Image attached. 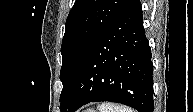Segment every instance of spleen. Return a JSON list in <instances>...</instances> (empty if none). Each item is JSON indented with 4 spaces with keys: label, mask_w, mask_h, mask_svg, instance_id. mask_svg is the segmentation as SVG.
<instances>
[{
    "label": "spleen",
    "mask_w": 193,
    "mask_h": 112,
    "mask_svg": "<svg viewBox=\"0 0 193 112\" xmlns=\"http://www.w3.org/2000/svg\"><path fill=\"white\" fill-rule=\"evenodd\" d=\"M100 112H134L133 109L112 103H103L99 106Z\"/></svg>",
    "instance_id": "1"
}]
</instances>
